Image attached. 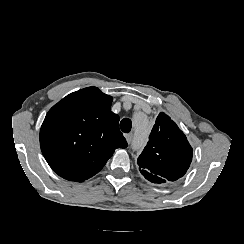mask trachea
<instances>
[{"mask_svg":"<svg viewBox=\"0 0 244 244\" xmlns=\"http://www.w3.org/2000/svg\"><path fill=\"white\" fill-rule=\"evenodd\" d=\"M120 128L124 133H129L131 131V128H132L131 120L127 119V118L123 119L120 122Z\"/></svg>","mask_w":244,"mask_h":244,"instance_id":"trachea-1","label":"trachea"}]
</instances>
